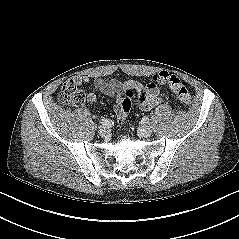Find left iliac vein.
<instances>
[{
  "label": "left iliac vein",
  "mask_w": 239,
  "mask_h": 239,
  "mask_svg": "<svg viewBox=\"0 0 239 239\" xmlns=\"http://www.w3.org/2000/svg\"><path fill=\"white\" fill-rule=\"evenodd\" d=\"M139 133L143 137H150L152 134V130L149 126H141L139 128Z\"/></svg>",
  "instance_id": "1"
}]
</instances>
